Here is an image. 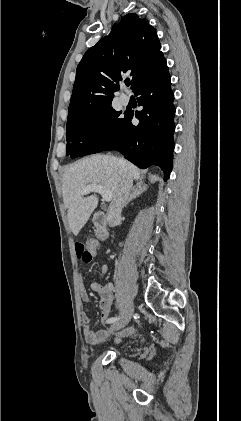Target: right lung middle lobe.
Returning <instances> with one entry per match:
<instances>
[{
    "mask_svg": "<svg viewBox=\"0 0 241 421\" xmlns=\"http://www.w3.org/2000/svg\"><path fill=\"white\" fill-rule=\"evenodd\" d=\"M121 112L108 107L92 115L66 125V155L71 158L104 151L114 143L125 129L127 114L119 118Z\"/></svg>",
    "mask_w": 241,
    "mask_h": 421,
    "instance_id": "right-lung-middle-lobe-1",
    "label": "right lung middle lobe"
}]
</instances>
